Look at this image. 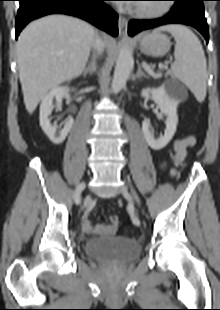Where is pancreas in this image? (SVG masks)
I'll return each instance as SVG.
<instances>
[{"instance_id":"pancreas-1","label":"pancreas","mask_w":220,"mask_h":310,"mask_svg":"<svg viewBox=\"0 0 220 310\" xmlns=\"http://www.w3.org/2000/svg\"><path fill=\"white\" fill-rule=\"evenodd\" d=\"M168 75H171V76H172V74H171L170 72H168V73L166 74V76H168Z\"/></svg>"}]
</instances>
